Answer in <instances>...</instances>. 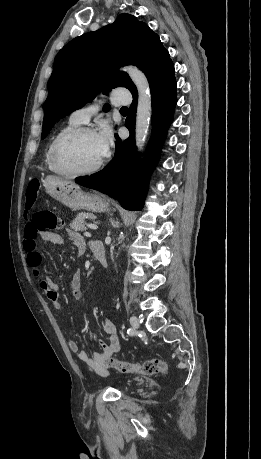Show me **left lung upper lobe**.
Instances as JSON below:
<instances>
[{"mask_svg":"<svg viewBox=\"0 0 261 459\" xmlns=\"http://www.w3.org/2000/svg\"><path fill=\"white\" fill-rule=\"evenodd\" d=\"M171 62L158 35L129 14L73 39L54 60L41 138L57 120L91 102L101 90L107 94L112 88L125 87L132 94L137 92L129 76L118 71L120 66H138L150 83ZM103 110L107 112L109 105Z\"/></svg>","mask_w":261,"mask_h":459,"instance_id":"obj_1","label":"left lung upper lobe"}]
</instances>
